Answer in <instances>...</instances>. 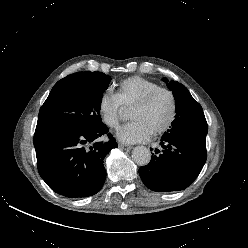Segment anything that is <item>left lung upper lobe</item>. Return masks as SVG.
<instances>
[{"label":"left lung upper lobe","mask_w":248,"mask_h":248,"mask_svg":"<svg viewBox=\"0 0 248 248\" xmlns=\"http://www.w3.org/2000/svg\"><path fill=\"white\" fill-rule=\"evenodd\" d=\"M167 87L173 92L176 101V116L172 122V128L163 136L179 132H187L195 135H207L208 125L201 105L194 100L187 88L179 82L163 78Z\"/></svg>","instance_id":"1"}]
</instances>
